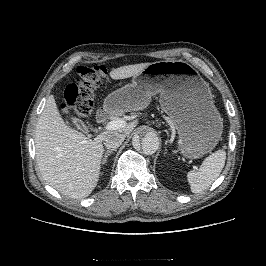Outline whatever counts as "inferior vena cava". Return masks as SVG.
Returning <instances> with one entry per match:
<instances>
[{"label":"inferior vena cava","mask_w":266,"mask_h":266,"mask_svg":"<svg viewBox=\"0 0 266 266\" xmlns=\"http://www.w3.org/2000/svg\"><path fill=\"white\" fill-rule=\"evenodd\" d=\"M125 139V135L122 133H118V132H112L107 134L104 139H103V143L107 148H118L122 142Z\"/></svg>","instance_id":"602c4592"}]
</instances>
